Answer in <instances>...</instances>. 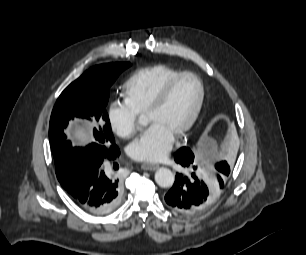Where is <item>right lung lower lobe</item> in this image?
I'll return each instance as SVG.
<instances>
[{
  "mask_svg": "<svg viewBox=\"0 0 306 255\" xmlns=\"http://www.w3.org/2000/svg\"><path fill=\"white\" fill-rule=\"evenodd\" d=\"M119 154L118 149L111 156L114 159ZM102 163L100 160L93 164L79 163L72 190L68 192L81 208L97 215L114 210L122 196L121 178L105 172Z\"/></svg>",
  "mask_w": 306,
  "mask_h": 255,
  "instance_id": "1",
  "label": "right lung lower lobe"
}]
</instances>
